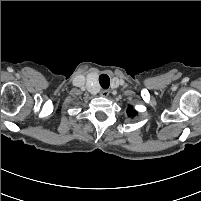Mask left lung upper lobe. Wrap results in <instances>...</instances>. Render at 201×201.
Segmentation results:
<instances>
[{"label": "left lung upper lobe", "mask_w": 201, "mask_h": 201, "mask_svg": "<svg viewBox=\"0 0 201 201\" xmlns=\"http://www.w3.org/2000/svg\"><path fill=\"white\" fill-rule=\"evenodd\" d=\"M127 113H128V116L131 117V116H135L137 112L132 109V106L129 105L127 109Z\"/></svg>", "instance_id": "left-lung-upper-lobe-1"}]
</instances>
